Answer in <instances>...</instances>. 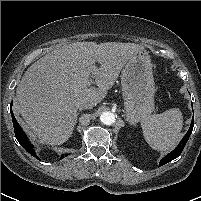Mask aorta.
<instances>
[{
  "mask_svg": "<svg viewBox=\"0 0 201 201\" xmlns=\"http://www.w3.org/2000/svg\"><path fill=\"white\" fill-rule=\"evenodd\" d=\"M100 120L105 125H112L115 122V115L111 112H103L100 115Z\"/></svg>",
  "mask_w": 201,
  "mask_h": 201,
  "instance_id": "obj_1",
  "label": "aorta"
}]
</instances>
